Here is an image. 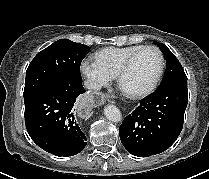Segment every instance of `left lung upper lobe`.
Returning a JSON list of instances; mask_svg holds the SVG:
<instances>
[{
  "instance_id": "5c2ea615",
  "label": "left lung upper lobe",
  "mask_w": 209,
  "mask_h": 179,
  "mask_svg": "<svg viewBox=\"0 0 209 179\" xmlns=\"http://www.w3.org/2000/svg\"><path fill=\"white\" fill-rule=\"evenodd\" d=\"M155 44L160 47V50L163 52L167 63L165 76L158 88H163L179 81H187V76L180 62L169 50V48H167L164 44H159L158 42H155Z\"/></svg>"
}]
</instances>
